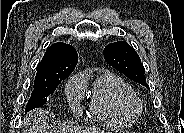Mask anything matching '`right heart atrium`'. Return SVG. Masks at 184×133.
<instances>
[{"instance_id": "right-heart-atrium-1", "label": "right heart atrium", "mask_w": 184, "mask_h": 133, "mask_svg": "<svg viewBox=\"0 0 184 133\" xmlns=\"http://www.w3.org/2000/svg\"><path fill=\"white\" fill-rule=\"evenodd\" d=\"M68 101L73 110L79 111L80 101L84 94V84L80 77H73L66 86Z\"/></svg>"}]
</instances>
